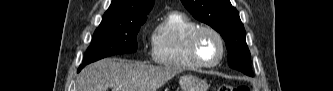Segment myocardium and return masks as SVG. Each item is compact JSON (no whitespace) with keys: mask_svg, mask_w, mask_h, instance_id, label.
I'll list each match as a JSON object with an SVG mask.
<instances>
[{"mask_svg":"<svg viewBox=\"0 0 333 91\" xmlns=\"http://www.w3.org/2000/svg\"><path fill=\"white\" fill-rule=\"evenodd\" d=\"M203 33H211L212 35H214L220 45L219 57L216 61L211 62V63L203 61L198 53V42H199L200 36ZM189 49H190V54H191L194 62L202 68H214L217 65H219L222 62V60L224 59L225 52H226L225 40H224L223 36L221 35V33L218 30H216L215 28H213L211 26H198L190 34Z\"/></svg>","mask_w":333,"mask_h":91,"instance_id":"myocardium-1","label":"myocardium"}]
</instances>
